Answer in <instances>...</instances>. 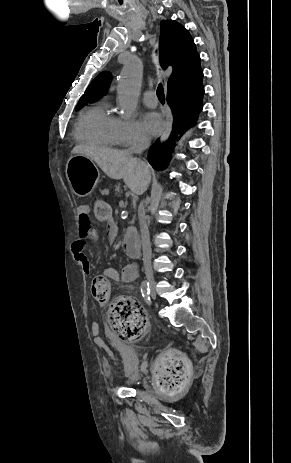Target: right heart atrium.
Listing matches in <instances>:
<instances>
[{
  "instance_id": "d8ad5b80",
  "label": "right heart atrium",
  "mask_w": 291,
  "mask_h": 463,
  "mask_svg": "<svg viewBox=\"0 0 291 463\" xmlns=\"http://www.w3.org/2000/svg\"><path fill=\"white\" fill-rule=\"evenodd\" d=\"M119 136L121 144L128 147L145 141V136L139 125L133 120L119 121Z\"/></svg>"
}]
</instances>
